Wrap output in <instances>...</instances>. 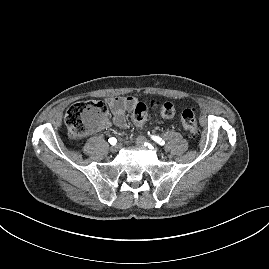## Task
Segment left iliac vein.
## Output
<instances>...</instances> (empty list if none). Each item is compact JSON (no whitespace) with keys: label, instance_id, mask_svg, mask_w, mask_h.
<instances>
[{"label":"left iliac vein","instance_id":"4c4485c4","mask_svg":"<svg viewBox=\"0 0 269 269\" xmlns=\"http://www.w3.org/2000/svg\"><path fill=\"white\" fill-rule=\"evenodd\" d=\"M146 142H148V140H147L145 137H143V136H138V137L136 138V144H137L138 146H141V145H143V144L146 143Z\"/></svg>","mask_w":269,"mask_h":269}]
</instances>
